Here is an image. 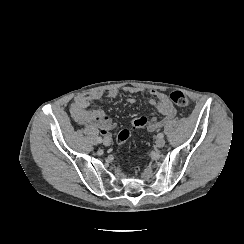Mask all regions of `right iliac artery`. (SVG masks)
I'll return each mask as SVG.
<instances>
[{
  "label": "right iliac artery",
  "mask_w": 244,
  "mask_h": 244,
  "mask_svg": "<svg viewBox=\"0 0 244 244\" xmlns=\"http://www.w3.org/2000/svg\"><path fill=\"white\" fill-rule=\"evenodd\" d=\"M97 142H98V143H101V142H102V137H101V136H99V137L97 138Z\"/></svg>",
  "instance_id": "right-iliac-artery-1"
}]
</instances>
